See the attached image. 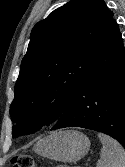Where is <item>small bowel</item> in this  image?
<instances>
[{
    "label": "small bowel",
    "instance_id": "c3829d8e",
    "mask_svg": "<svg viewBox=\"0 0 125 167\" xmlns=\"http://www.w3.org/2000/svg\"><path fill=\"white\" fill-rule=\"evenodd\" d=\"M57 167H69V166H63V165H61V166H57Z\"/></svg>",
    "mask_w": 125,
    "mask_h": 167
}]
</instances>
